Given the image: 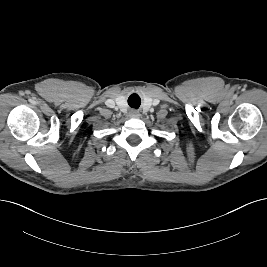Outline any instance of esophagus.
Segmentation results:
<instances>
[{"label":"esophagus","instance_id":"obj_1","mask_svg":"<svg viewBox=\"0 0 267 267\" xmlns=\"http://www.w3.org/2000/svg\"><path fill=\"white\" fill-rule=\"evenodd\" d=\"M130 116H131V117H135V118H137V117H139V113L136 112V111H132V112L130 113Z\"/></svg>","mask_w":267,"mask_h":267}]
</instances>
